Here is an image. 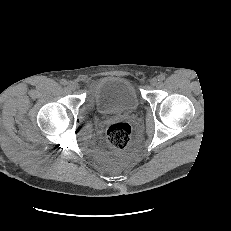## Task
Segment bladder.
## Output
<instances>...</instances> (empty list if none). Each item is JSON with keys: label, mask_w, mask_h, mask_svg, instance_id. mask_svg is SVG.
Listing matches in <instances>:
<instances>
[{"label": "bladder", "mask_w": 231, "mask_h": 231, "mask_svg": "<svg viewBox=\"0 0 231 231\" xmlns=\"http://www.w3.org/2000/svg\"><path fill=\"white\" fill-rule=\"evenodd\" d=\"M92 100L101 114L133 111L139 105L133 83L119 76L99 79L93 87Z\"/></svg>", "instance_id": "bladder-1"}]
</instances>
